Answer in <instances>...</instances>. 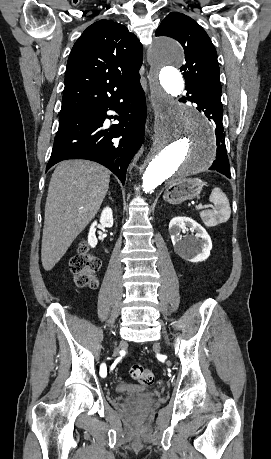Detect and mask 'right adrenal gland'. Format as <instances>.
Listing matches in <instances>:
<instances>
[{"label": "right adrenal gland", "mask_w": 271, "mask_h": 459, "mask_svg": "<svg viewBox=\"0 0 271 459\" xmlns=\"http://www.w3.org/2000/svg\"><path fill=\"white\" fill-rule=\"evenodd\" d=\"M108 196H111L110 192H109Z\"/></svg>", "instance_id": "1"}]
</instances>
